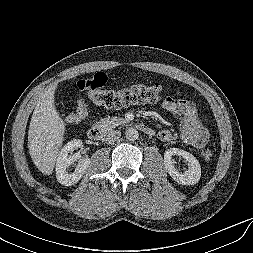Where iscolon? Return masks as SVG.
Here are the masks:
<instances>
[{
	"label": "colon",
	"mask_w": 253,
	"mask_h": 253,
	"mask_svg": "<svg viewBox=\"0 0 253 253\" xmlns=\"http://www.w3.org/2000/svg\"><path fill=\"white\" fill-rule=\"evenodd\" d=\"M107 82V76L104 73H96L94 76L80 80L77 83L79 92L87 93L91 101L98 105L106 107H122L130 104L141 102H156L162 92L160 84L138 85L121 91L105 90L104 86ZM88 111V105L84 99H79L74 112L67 116L69 123H77L82 121ZM213 156L211 149L203 152V158L210 160Z\"/></svg>",
	"instance_id": "1"
}]
</instances>
